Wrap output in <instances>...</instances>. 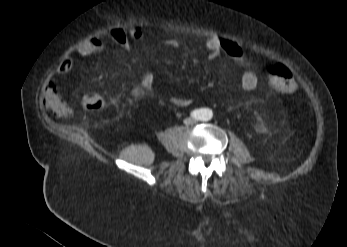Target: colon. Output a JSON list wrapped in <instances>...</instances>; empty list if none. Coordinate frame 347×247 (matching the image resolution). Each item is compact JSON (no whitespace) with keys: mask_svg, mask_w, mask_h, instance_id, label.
Returning <instances> with one entry per match:
<instances>
[{"mask_svg":"<svg viewBox=\"0 0 347 247\" xmlns=\"http://www.w3.org/2000/svg\"><path fill=\"white\" fill-rule=\"evenodd\" d=\"M268 81L272 90L280 94H289L296 89V82L291 71L283 64L269 66ZM103 103V98L92 91H87L80 97V106L87 112L101 108Z\"/></svg>","mask_w":347,"mask_h":247,"instance_id":"obj_1","label":"colon"}]
</instances>
